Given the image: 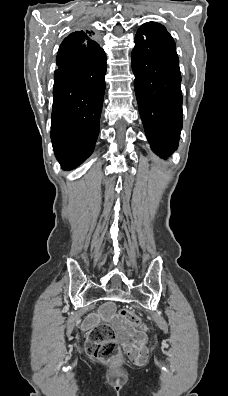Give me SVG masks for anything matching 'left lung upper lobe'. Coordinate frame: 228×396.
Returning a JSON list of instances; mask_svg holds the SVG:
<instances>
[{
	"label": "left lung upper lobe",
	"instance_id": "obj_1",
	"mask_svg": "<svg viewBox=\"0 0 228 396\" xmlns=\"http://www.w3.org/2000/svg\"><path fill=\"white\" fill-rule=\"evenodd\" d=\"M156 27H164V26H162L161 24L156 23V22H147L141 26V28L138 30L137 34L150 33Z\"/></svg>",
	"mask_w": 228,
	"mask_h": 396
}]
</instances>
